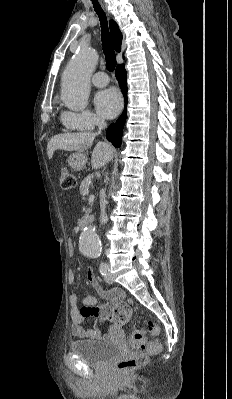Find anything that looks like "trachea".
Here are the masks:
<instances>
[{"label":"trachea","mask_w":232,"mask_h":399,"mask_svg":"<svg viewBox=\"0 0 232 399\" xmlns=\"http://www.w3.org/2000/svg\"><path fill=\"white\" fill-rule=\"evenodd\" d=\"M94 10L97 12V15L100 19L101 24V32H102V47L105 54L106 59V67L107 69L112 72L116 67V55L111 43V38L109 35L108 25H107V18L104 11L101 9L97 0H92Z\"/></svg>","instance_id":"obj_1"}]
</instances>
